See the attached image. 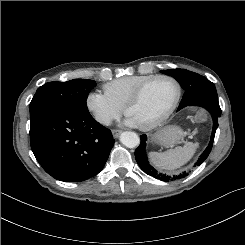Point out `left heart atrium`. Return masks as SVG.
I'll list each match as a JSON object with an SVG mask.
<instances>
[{
	"instance_id": "left-heart-atrium-1",
	"label": "left heart atrium",
	"mask_w": 245,
	"mask_h": 245,
	"mask_svg": "<svg viewBox=\"0 0 245 245\" xmlns=\"http://www.w3.org/2000/svg\"><path fill=\"white\" fill-rule=\"evenodd\" d=\"M124 124H126L128 126H132V127L139 126L138 123L136 122V120L133 117L129 116V115H127V117H126V119L124 121Z\"/></svg>"
}]
</instances>
